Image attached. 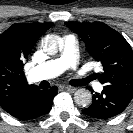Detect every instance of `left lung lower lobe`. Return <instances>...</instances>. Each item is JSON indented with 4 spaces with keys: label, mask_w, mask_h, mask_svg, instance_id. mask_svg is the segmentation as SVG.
Listing matches in <instances>:
<instances>
[{
    "label": "left lung lower lobe",
    "mask_w": 133,
    "mask_h": 133,
    "mask_svg": "<svg viewBox=\"0 0 133 133\" xmlns=\"http://www.w3.org/2000/svg\"><path fill=\"white\" fill-rule=\"evenodd\" d=\"M92 99V104L82 112L97 119H108L120 114L131 100L120 94L105 91L94 94Z\"/></svg>",
    "instance_id": "0a47b994"
}]
</instances>
